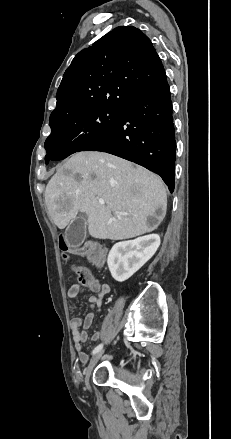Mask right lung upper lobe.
<instances>
[{"label":"right lung upper lobe","mask_w":231,"mask_h":439,"mask_svg":"<svg viewBox=\"0 0 231 439\" xmlns=\"http://www.w3.org/2000/svg\"><path fill=\"white\" fill-rule=\"evenodd\" d=\"M165 84V70L150 39L133 26H120L75 56L50 120L90 108L122 111Z\"/></svg>","instance_id":"1"}]
</instances>
